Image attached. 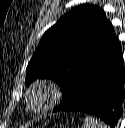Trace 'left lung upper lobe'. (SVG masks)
I'll return each instance as SVG.
<instances>
[{
    "label": "left lung upper lobe",
    "mask_w": 125,
    "mask_h": 128,
    "mask_svg": "<svg viewBox=\"0 0 125 128\" xmlns=\"http://www.w3.org/2000/svg\"><path fill=\"white\" fill-rule=\"evenodd\" d=\"M118 38L105 13L96 5H80L47 30L26 69V83L52 78L62 88L58 111L76 97L88 71Z\"/></svg>",
    "instance_id": "left-lung-upper-lobe-1"
}]
</instances>
